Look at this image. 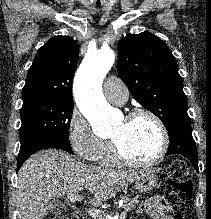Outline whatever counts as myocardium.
<instances>
[{"mask_svg":"<svg viewBox=\"0 0 211 219\" xmlns=\"http://www.w3.org/2000/svg\"><path fill=\"white\" fill-rule=\"evenodd\" d=\"M140 116H147L156 123L157 127L159 128L160 134H161L160 148L157 154L153 158L148 159V160H136V159L128 157L121 149L119 143L116 140L111 139V146H112L115 158L117 159L119 163L126 165V166H133V167L153 166L159 163L164 158V156L166 155L169 149L170 140H169V133H168L167 127L165 123L163 122V120L153 111L148 110V109H143V108L135 109L126 115L125 120L132 121Z\"/></svg>","mask_w":211,"mask_h":219,"instance_id":"myocardium-1","label":"myocardium"}]
</instances>
